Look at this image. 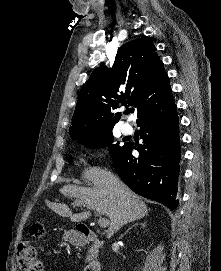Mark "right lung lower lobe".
Returning a JSON list of instances; mask_svg holds the SVG:
<instances>
[{
    "instance_id": "obj_1",
    "label": "right lung lower lobe",
    "mask_w": 221,
    "mask_h": 271,
    "mask_svg": "<svg viewBox=\"0 0 221 271\" xmlns=\"http://www.w3.org/2000/svg\"><path fill=\"white\" fill-rule=\"evenodd\" d=\"M142 129L143 144L131 153L125 144L113 159L124 182L137 194L176 209L179 200L177 182L181 156L179 121L174 100L164 108L143 115L137 121Z\"/></svg>"
}]
</instances>
